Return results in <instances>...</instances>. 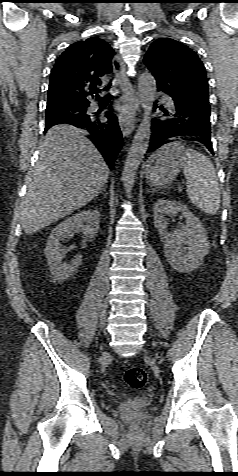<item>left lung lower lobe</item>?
<instances>
[{
  "label": "left lung lower lobe",
  "mask_w": 238,
  "mask_h": 476,
  "mask_svg": "<svg viewBox=\"0 0 238 476\" xmlns=\"http://www.w3.org/2000/svg\"><path fill=\"white\" fill-rule=\"evenodd\" d=\"M160 116L154 118L151 127L150 144L147 153L151 154L165 144L190 138L199 142L214 155L211 142L210 112L180 107L174 104L169 108L157 106Z\"/></svg>",
  "instance_id": "0a47b994"
}]
</instances>
